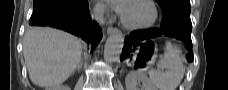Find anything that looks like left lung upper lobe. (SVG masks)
Wrapping results in <instances>:
<instances>
[{
	"label": "left lung upper lobe",
	"mask_w": 228,
	"mask_h": 90,
	"mask_svg": "<svg viewBox=\"0 0 228 90\" xmlns=\"http://www.w3.org/2000/svg\"><path fill=\"white\" fill-rule=\"evenodd\" d=\"M157 2L162 10V22L191 26L189 0H157Z\"/></svg>",
	"instance_id": "5c2ea615"
}]
</instances>
